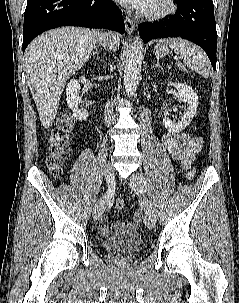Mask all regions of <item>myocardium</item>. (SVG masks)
<instances>
[{
    "label": "myocardium",
    "instance_id": "f54148a6",
    "mask_svg": "<svg viewBox=\"0 0 239 303\" xmlns=\"http://www.w3.org/2000/svg\"><path fill=\"white\" fill-rule=\"evenodd\" d=\"M160 8L155 10H143L140 15L150 20L164 19L173 15L177 10V4L175 0H162Z\"/></svg>",
    "mask_w": 239,
    "mask_h": 303
}]
</instances>
